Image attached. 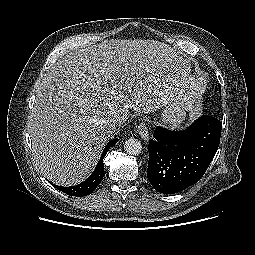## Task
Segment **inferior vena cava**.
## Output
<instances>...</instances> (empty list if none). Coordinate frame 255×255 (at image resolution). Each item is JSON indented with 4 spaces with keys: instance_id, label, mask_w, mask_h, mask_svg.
<instances>
[{
    "instance_id": "602c4592",
    "label": "inferior vena cava",
    "mask_w": 255,
    "mask_h": 255,
    "mask_svg": "<svg viewBox=\"0 0 255 255\" xmlns=\"http://www.w3.org/2000/svg\"><path fill=\"white\" fill-rule=\"evenodd\" d=\"M117 123H120V120L118 118H114L111 120L110 128L112 132L115 131Z\"/></svg>"
}]
</instances>
